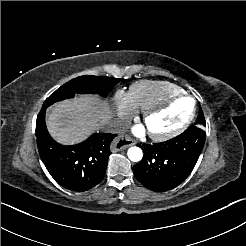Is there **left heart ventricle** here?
<instances>
[{"instance_id":"1","label":"left heart ventricle","mask_w":246,"mask_h":246,"mask_svg":"<svg viewBox=\"0 0 246 246\" xmlns=\"http://www.w3.org/2000/svg\"><path fill=\"white\" fill-rule=\"evenodd\" d=\"M188 104L186 99L177 101L168 110L151 117L146 127L156 132L173 128L183 119L185 106Z\"/></svg>"}]
</instances>
